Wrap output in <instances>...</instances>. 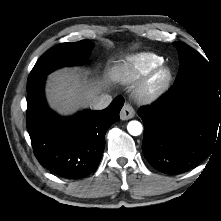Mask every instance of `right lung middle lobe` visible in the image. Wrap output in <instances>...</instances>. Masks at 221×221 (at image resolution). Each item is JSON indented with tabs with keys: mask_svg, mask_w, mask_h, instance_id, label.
I'll return each mask as SVG.
<instances>
[{
	"mask_svg": "<svg viewBox=\"0 0 221 221\" xmlns=\"http://www.w3.org/2000/svg\"><path fill=\"white\" fill-rule=\"evenodd\" d=\"M93 46L92 41L83 40L76 43H61L51 48L35 64L29 75L27 87H32L57 68L83 64Z\"/></svg>",
	"mask_w": 221,
	"mask_h": 221,
	"instance_id": "obj_1",
	"label": "right lung middle lobe"
}]
</instances>
